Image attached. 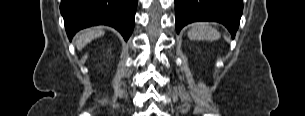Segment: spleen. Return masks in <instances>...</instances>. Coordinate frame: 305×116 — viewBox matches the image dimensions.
Wrapping results in <instances>:
<instances>
[{"label":"spleen","mask_w":305,"mask_h":116,"mask_svg":"<svg viewBox=\"0 0 305 116\" xmlns=\"http://www.w3.org/2000/svg\"><path fill=\"white\" fill-rule=\"evenodd\" d=\"M187 35L191 40L214 41L220 37V33L205 22L193 23Z\"/></svg>","instance_id":"3e777b00"}]
</instances>
